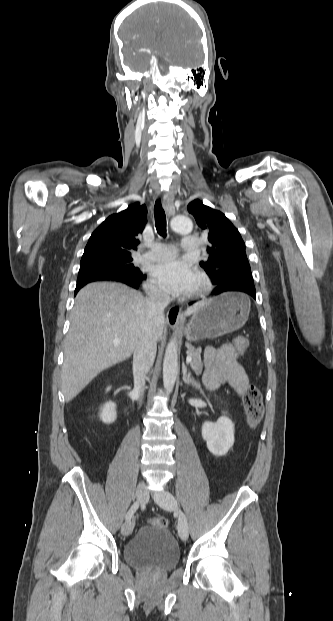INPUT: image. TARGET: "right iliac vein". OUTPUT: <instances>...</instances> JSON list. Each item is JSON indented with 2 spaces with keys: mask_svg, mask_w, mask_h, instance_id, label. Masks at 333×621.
Listing matches in <instances>:
<instances>
[{
  "mask_svg": "<svg viewBox=\"0 0 333 621\" xmlns=\"http://www.w3.org/2000/svg\"><path fill=\"white\" fill-rule=\"evenodd\" d=\"M136 498L138 501H144L146 499V488L144 481L138 483L136 488ZM135 525L134 519H130L126 523L123 524L121 528V532L124 536H128L131 534Z\"/></svg>",
  "mask_w": 333,
  "mask_h": 621,
  "instance_id": "right-iliac-vein-1",
  "label": "right iliac vein"
}]
</instances>
